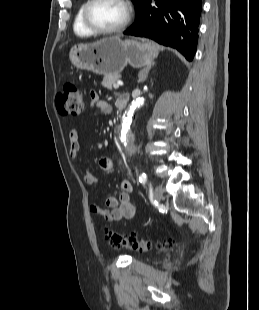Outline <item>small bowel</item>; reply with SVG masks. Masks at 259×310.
Listing matches in <instances>:
<instances>
[{"label": "small bowel", "mask_w": 259, "mask_h": 310, "mask_svg": "<svg viewBox=\"0 0 259 310\" xmlns=\"http://www.w3.org/2000/svg\"><path fill=\"white\" fill-rule=\"evenodd\" d=\"M90 102L98 112L106 115H110L112 113V106L108 102L101 100L96 92H92L90 94ZM80 138L81 133L79 129H72L70 131V157L73 160L79 159L81 148ZM98 165L100 170L106 173H110L114 170V164L112 160L107 157L100 158ZM83 181L86 185L93 187L97 186L98 184V180L95 175L89 171L84 173ZM120 186L122 193L118 198L114 195L108 196L106 199V208L97 204H92L90 206L91 212L109 222L132 219L135 216V206L130 199V194L133 189L132 184L129 180L123 179L120 182Z\"/></svg>", "instance_id": "c3829d8e"}]
</instances>
